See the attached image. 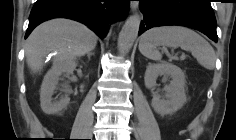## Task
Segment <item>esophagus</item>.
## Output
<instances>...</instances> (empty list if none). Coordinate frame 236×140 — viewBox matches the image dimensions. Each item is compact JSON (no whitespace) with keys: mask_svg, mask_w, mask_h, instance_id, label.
I'll list each match as a JSON object with an SVG mask.
<instances>
[{"mask_svg":"<svg viewBox=\"0 0 236 140\" xmlns=\"http://www.w3.org/2000/svg\"><path fill=\"white\" fill-rule=\"evenodd\" d=\"M130 8H131V11H136L137 8H138V2L137 1H131L130 3Z\"/></svg>","mask_w":236,"mask_h":140,"instance_id":"esophagus-1","label":"esophagus"}]
</instances>
